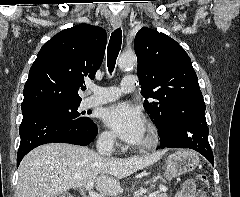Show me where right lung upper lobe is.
I'll return each mask as SVG.
<instances>
[{
  "instance_id": "1",
  "label": "right lung upper lobe",
  "mask_w": 240,
  "mask_h": 197,
  "mask_svg": "<svg viewBox=\"0 0 240 197\" xmlns=\"http://www.w3.org/2000/svg\"><path fill=\"white\" fill-rule=\"evenodd\" d=\"M106 42V31L89 24L57 33L42 46L30 68L22 110L49 102L81 101L77 91L84 78H95Z\"/></svg>"
}]
</instances>
